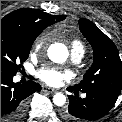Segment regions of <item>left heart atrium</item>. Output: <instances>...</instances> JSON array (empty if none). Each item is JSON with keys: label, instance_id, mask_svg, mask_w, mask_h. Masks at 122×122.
Instances as JSON below:
<instances>
[{"label": "left heart atrium", "instance_id": "left-heart-atrium-1", "mask_svg": "<svg viewBox=\"0 0 122 122\" xmlns=\"http://www.w3.org/2000/svg\"><path fill=\"white\" fill-rule=\"evenodd\" d=\"M39 78L50 86H59L64 80L70 78L69 73L62 72L56 68L44 67L38 73Z\"/></svg>", "mask_w": 122, "mask_h": 122}]
</instances>
